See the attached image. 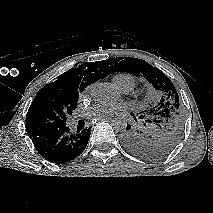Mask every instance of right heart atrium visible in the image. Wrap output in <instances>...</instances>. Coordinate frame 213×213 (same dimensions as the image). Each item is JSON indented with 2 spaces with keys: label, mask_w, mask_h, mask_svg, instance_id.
Masks as SVG:
<instances>
[{
  "label": "right heart atrium",
  "mask_w": 213,
  "mask_h": 213,
  "mask_svg": "<svg viewBox=\"0 0 213 213\" xmlns=\"http://www.w3.org/2000/svg\"><path fill=\"white\" fill-rule=\"evenodd\" d=\"M90 90H91V87H87L85 90H84V92H83V94H88L89 92H90Z\"/></svg>",
  "instance_id": "1"
}]
</instances>
